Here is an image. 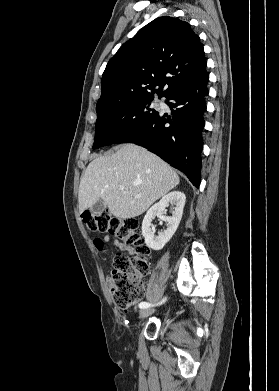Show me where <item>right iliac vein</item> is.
Returning <instances> with one entry per match:
<instances>
[{"label":"right iliac vein","instance_id":"obj_1","mask_svg":"<svg viewBox=\"0 0 279 391\" xmlns=\"http://www.w3.org/2000/svg\"><path fill=\"white\" fill-rule=\"evenodd\" d=\"M154 313V310L153 309H142L140 312H139V318L140 319H144L146 317H148L149 315L153 314Z\"/></svg>","mask_w":279,"mask_h":391}]
</instances>
